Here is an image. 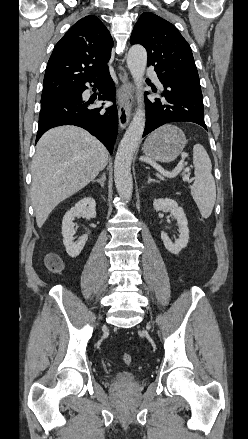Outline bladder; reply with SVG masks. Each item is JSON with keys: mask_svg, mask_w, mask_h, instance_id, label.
I'll return each mask as SVG.
<instances>
[{"mask_svg": "<svg viewBox=\"0 0 248 439\" xmlns=\"http://www.w3.org/2000/svg\"><path fill=\"white\" fill-rule=\"evenodd\" d=\"M140 377L138 374L128 371L118 372L113 376V383L115 385H134L139 381Z\"/></svg>", "mask_w": 248, "mask_h": 439, "instance_id": "31cf9c89", "label": "bladder"}]
</instances>
